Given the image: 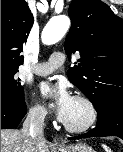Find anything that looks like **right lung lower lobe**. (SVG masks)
I'll use <instances>...</instances> for the list:
<instances>
[{"label":"right lung lower lobe","mask_w":123,"mask_h":152,"mask_svg":"<svg viewBox=\"0 0 123 152\" xmlns=\"http://www.w3.org/2000/svg\"><path fill=\"white\" fill-rule=\"evenodd\" d=\"M26 112L25 102L20 105L1 102V129L17 127Z\"/></svg>","instance_id":"obj_1"}]
</instances>
